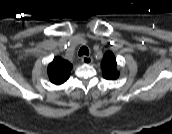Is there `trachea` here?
Listing matches in <instances>:
<instances>
[{
    "mask_svg": "<svg viewBox=\"0 0 172 134\" xmlns=\"http://www.w3.org/2000/svg\"><path fill=\"white\" fill-rule=\"evenodd\" d=\"M78 54H79V56H81V55H86V56H88V55H89V50H88L87 47L83 46V47L80 48Z\"/></svg>",
    "mask_w": 172,
    "mask_h": 134,
    "instance_id": "1",
    "label": "trachea"
}]
</instances>
